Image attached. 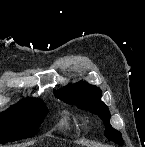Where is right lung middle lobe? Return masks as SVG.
I'll return each instance as SVG.
<instances>
[{
    "instance_id": "dd1d6c3e",
    "label": "right lung middle lobe",
    "mask_w": 145,
    "mask_h": 147,
    "mask_svg": "<svg viewBox=\"0 0 145 147\" xmlns=\"http://www.w3.org/2000/svg\"><path fill=\"white\" fill-rule=\"evenodd\" d=\"M48 109L39 99H24L0 114V143L36 135Z\"/></svg>"
}]
</instances>
